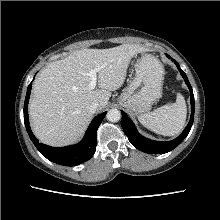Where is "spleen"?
Here are the masks:
<instances>
[{"instance_id": "obj_1", "label": "spleen", "mask_w": 220, "mask_h": 220, "mask_svg": "<svg viewBox=\"0 0 220 220\" xmlns=\"http://www.w3.org/2000/svg\"><path fill=\"white\" fill-rule=\"evenodd\" d=\"M186 103L181 94L174 103L166 104L152 112L138 116L139 122L147 129L164 136L181 132L186 121Z\"/></svg>"}]
</instances>
